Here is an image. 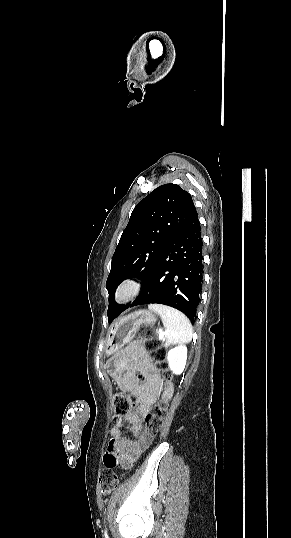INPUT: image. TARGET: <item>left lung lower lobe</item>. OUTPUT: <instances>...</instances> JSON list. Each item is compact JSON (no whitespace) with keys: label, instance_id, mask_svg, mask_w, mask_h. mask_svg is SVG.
<instances>
[{"label":"left lung lower lobe","instance_id":"0a47b994","mask_svg":"<svg viewBox=\"0 0 291 538\" xmlns=\"http://www.w3.org/2000/svg\"><path fill=\"white\" fill-rule=\"evenodd\" d=\"M202 246L196 214L163 252L138 297L120 313L129 306L164 304L185 313L193 324L203 285ZM119 314L115 313L110 322Z\"/></svg>","mask_w":291,"mask_h":538}]
</instances>
